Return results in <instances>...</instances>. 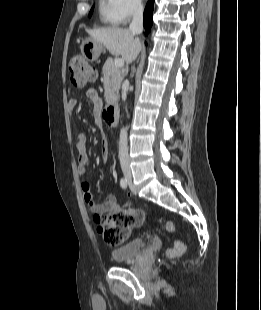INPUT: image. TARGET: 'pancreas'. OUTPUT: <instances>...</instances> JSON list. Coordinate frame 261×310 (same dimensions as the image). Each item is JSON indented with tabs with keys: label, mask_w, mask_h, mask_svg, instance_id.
Listing matches in <instances>:
<instances>
[{
	"label": "pancreas",
	"mask_w": 261,
	"mask_h": 310,
	"mask_svg": "<svg viewBox=\"0 0 261 310\" xmlns=\"http://www.w3.org/2000/svg\"><path fill=\"white\" fill-rule=\"evenodd\" d=\"M105 100L108 104H114L119 97V88L123 80V73L115 67L112 58L107 59L102 69Z\"/></svg>",
	"instance_id": "obj_1"
}]
</instances>
